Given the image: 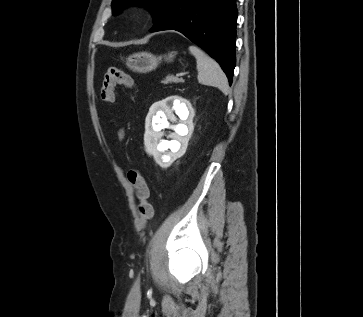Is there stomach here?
Listing matches in <instances>:
<instances>
[{"mask_svg": "<svg viewBox=\"0 0 363 317\" xmlns=\"http://www.w3.org/2000/svg\"><path fill=\"white\" fill-rule=\"evenodd\" d=\"M172 58L173 53H170L166 57V60L172 61ZM160 61L161 57H156L155 55L148 52H139L130 55L126 59V65L134 72L147 73L156 69Z\"/></svg>", "mask_w": 363, "mask_h": 317, "instance_id": "obj_1", "label": "stomach"}]
</instances>
